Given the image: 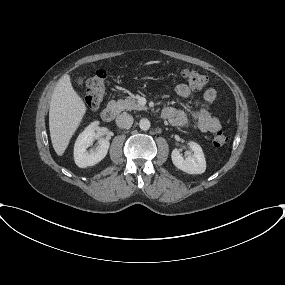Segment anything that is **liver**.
I'll return each instance as SVG.
<instances>
[{"mask_svg":"<svg viewBox=\"0 0 285 285\" xmlns=\"http://www.w3.org/2000/svg\"><path fill=\"white\" fill-rule=\"evenodd\" d=\"M86 110L84 101L72 87L70 76L63 75L53 91L49 109L50 137L58 156L64 154Z\"/></svg>","mask_w":285,"mask_h":285,"instance_id":"liver-1","label":"liver"}]
</instances>
